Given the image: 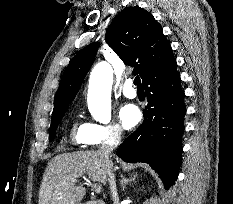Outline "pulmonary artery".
<instances>
[{
  "mask_svg": "<svg viewBox=\"0 0 233 204\" xmlns=\"http://www.w3.org/2000/svg\"><path fill=\"white\" fill-rule=\"evenodd\" d=\"M122 92L127 98H135L137 96L136 90L133 88V81L127 79L124 83Z\"/></svg>",
  "mask_w": 233,
  "mask_h": 204,
  "instance_id": "1",
  "label": "pulmonary artery"
}]
</instances>
